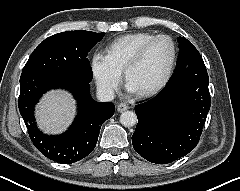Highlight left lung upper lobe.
Masks as SVG:
<instances>
[{
  "label": "left lung upper lobe",
  "instance_id": "obj_1",
  "mask_svg": "<svg viewBox=\"0 0 240 191\" xmlns=\"http://www.w3.org/2000/svg\"><path fill=\"white\" fill-rule=\"evenodd\" d=\"M180 54L177 61V66L181 65L183 68L206 70L204 61L198 50L186 38H178Z\"/></svg>",
  "mask_w": 240,
  "mask_h": 191
}]
</instances>
